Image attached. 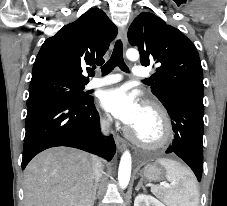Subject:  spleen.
<instances>
[{"label": "spleen", "mask_w": 227, "mask_h": 206, "mask_svg": "<svg viewBox=\"0 0 227 206\" xmlns=\"http://www.w3.org/2000/svg\"><path fill=\"white\" fill-rule=\"evenodd\" d=\"M156 162L165 167L170 185L156 186L154 193L167 206H199V190L191 172L171 159L161 158Z\"/></svg>", "instance_id": "1"}]
</instances>
